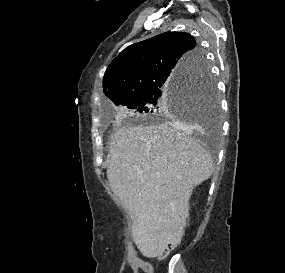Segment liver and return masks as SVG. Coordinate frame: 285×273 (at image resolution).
<instances>
[{
  "mask_svg": "<svg viewBox=\"0 0 285 273\" xmlns=\"http://www.w3.org/2000/svg\"><path fill=\"white\" fill-rule=\"evenodd\" d=\"M185 131L178 123L122 126L111 136L107 178L131 212L134 242L148 258L181 240L193 188L214 171L211 155Z\"/></svg>",
  "mask_w": 285,
  "mask_h": 273,
  "instance_id": "1",
  "label": "liver"
}]
</instances>
